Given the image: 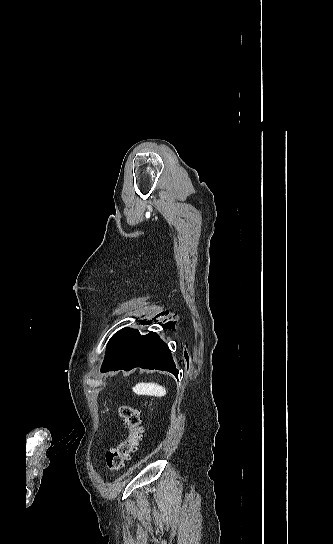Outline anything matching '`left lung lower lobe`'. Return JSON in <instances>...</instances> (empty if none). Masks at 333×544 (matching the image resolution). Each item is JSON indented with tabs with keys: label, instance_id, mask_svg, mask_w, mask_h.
<instances>
[{
	"label": "left lung lower lobe",
	"instance_id": "0a47b994",
	"mask_svg": "<svg viewBox=\"0 0 333 544\" xmlns=\"http://www.w3.org/2000/svg\"><path fill=\"white\" fill-rule=\"evenodd\" d=\"M135 367L165 370L171 372L176 377L178 375V370L175 368L167 344L154 332L143 337L140 336L130 348L114 346L108 352L101 372L117 371L120 369L128 371Z\"/></svg>",
	"mask_w": 333,
	"mask_h": 544
}]
</instances>
